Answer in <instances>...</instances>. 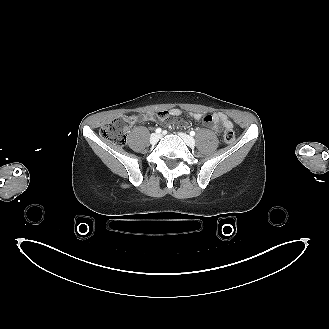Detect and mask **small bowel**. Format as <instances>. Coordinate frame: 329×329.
<instances>
[{
  "instance_id": "small-bowel-1",
  "label": "small bowel",
  "mask_w": 329,
  "mask_h": 329,
  "mask_svg": "<svg viewBox=\"0 0 329 329\" xmlns=\"http://www.w3.org/2000/svg\"><path fill=\"white\" fill-rule=\"evenodd\" d=\"M180 115L181 111L178 108H170L158 112L156 116L148 113L141 114L139 119L141 121L158 120L162 123H166L171 118L179 117ZM189 115L197 121L202 120L204 124L214 132H221L222 129L230 130L233 128L232 121L227 117L226 114L221 112L210 115H202L199 113H190Z\"/></svg>"
}]
</instances>
